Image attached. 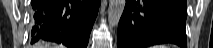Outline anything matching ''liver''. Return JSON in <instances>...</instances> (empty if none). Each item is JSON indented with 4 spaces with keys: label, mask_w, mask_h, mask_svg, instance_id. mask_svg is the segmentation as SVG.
Instances as JSON below:
<instances>
[{
    "label": "liver",
    "mask_w": 213,
    "mask_h": 48,
    "mask_svg": "<svg viewBox=\"0 0 213 48\" xmlns=\"http://www.w3.org/2000/svg\"><path fill=\"white\" fill-rule=\"evenodd\" d=\"M53 46H56V45H52L47 42H39L35 45L34 48H62V47H53Z\"/></svg>",
    "instance_id": "1"
}]
</instances>
